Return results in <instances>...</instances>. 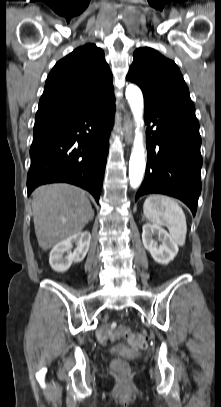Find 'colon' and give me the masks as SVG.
Wrapping results in <instances>:
<instances>
[{
    "instance_id": "1",
    "label": "colon",
    "mask_w": 221,
    "mask_h": 407,
    "mask_svg": "<svg viewBox=\"0 0 221 407\" xmlns=\"http://www.w3.org/2000/svg\"><path fill=\"white\" fill-rule=\"evenodd\" d=\"M121 337L126 338L137 349L147 348V336L136 334L124 325H106L101 327L97 332V338L101 344H106L110 340H116ZM111 367L117 373H125L128 370L127 363L120 358L112 359Z\"/></svg>"
}]
</instances>
